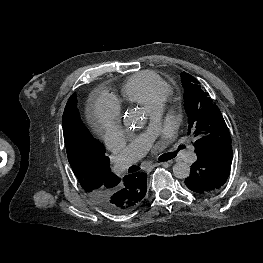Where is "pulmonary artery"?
<instances>
[{
    "label": "pulmonary artery",
    "mask_w": 263,
    "mask_h": 263,
    "mask_svg": "<svg viewBox=\"0 0 263 263\" xmlns=\"http://www.w3.org/2000/svg\"><path fill=\"white\" fill-rule=\"evenodd\" d=\"M162 105V103H158L149 110L151 114V123L148 130L137 137L119 154L115 164V170L117 172H121L128 168L149 150L160 124V117L163 109ZM183 159L188 163H192L197 159L193 146L189 147L188 150L184 152Z\"/></svg>",
    "instance_id": "obj_1"
}]
</instances>
